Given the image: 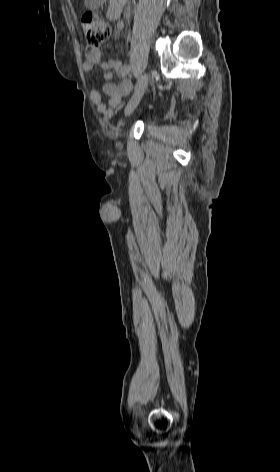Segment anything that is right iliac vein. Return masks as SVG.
Masks as SVG:
<instances>
[{"label":"right iliac vein","mask_w":280,"mask_h":472,"mask_svg":"<svg viewBox=\"0 0 280 472\" xmlns=\"http://www.w3.org/2000/svg\"><path fill=\"white\" fill-rule=\"evenodd\" d=\"M147 85H148V75L144 74L138 80V82L136 84V87H135L134 94H133L132 98L130 99V101H129L126 109H125V114L126 115H130L136 109V107L138 106L141 98L144 95V92L147 88Z\"/></svg>","instance_id":"obj_1"}]
</instances>
